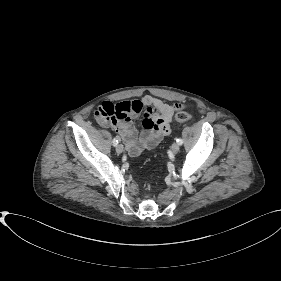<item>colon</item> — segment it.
I'll use <instances>...</instances> for the list:
<instances>
[{
    "label": "colon",
    "instance_id": "1",
    "mask_svg": "<svg viewBox=\"0 0 281 281\" xmlns=\"http://www.w3.org/2000/svg\"><path fill=\"white\" fill-rule=\"evenodd\" d=\"M140 105L138 103H134L133 107H129L126 102L112 104L106 103L98 108L96 111V116L98 119L102 121H117L125 118L131 110H139ZM175 120L178 123H188L191 120V115L187 112L180 111L175 114Z\"/></svg>",
    "mask_w": 281,
    "mask_h": 281
}]
</instances>
